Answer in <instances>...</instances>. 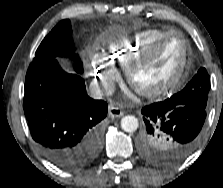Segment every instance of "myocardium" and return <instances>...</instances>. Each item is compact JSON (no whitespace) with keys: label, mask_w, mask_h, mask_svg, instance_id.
Returning <instances> with one entry per match:
<instances>
[{"label":"myocardium","mask_w":223,"mask_h":188,"mask_svg":"<svg viewBox=\"0 0 223 188\" xmlns=\"http://www.w3.org/2000/svg\"><path fill=\"white\" fill-rule=\"evenodd\" d=\"M173 36L180 37L184 47L183 56L177 71L169 79L163 81L160 84H157L156 86L143 87L138 84V82L136 81L137 73L156 58L165 41ZM189 57L190 44L187 38L179 31H169L161 36L157 41H155L150 47H148L140 57H138L126 68L125 73L127 82L136 92L145 97L155 98L161 96L177 88L183 81L187 72Z\"/></svg>","instance_id":"f54148a6"}]
</instances>
